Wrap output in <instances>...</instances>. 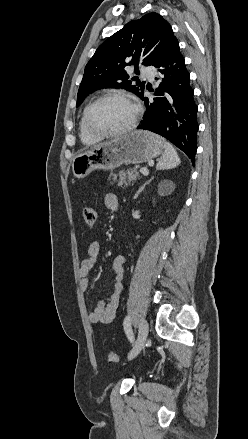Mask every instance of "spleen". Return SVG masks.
<instances>
[{
  "label": "spleen",
  "instance_id": "obj_1",
  "mask_svg": "<svg viewBox=\"0 0 248 439\" xmlns=\"http://www.w3.org/2000/svg\"><path fill=\"white\" fill-rule=\"evenodd\" d=\"M180 164V158L170 143H166L164 153L157 163V169H173Z\"/></svg>",
  "mask_w": 248,
  "mask_h": 439
}]
</instances>
